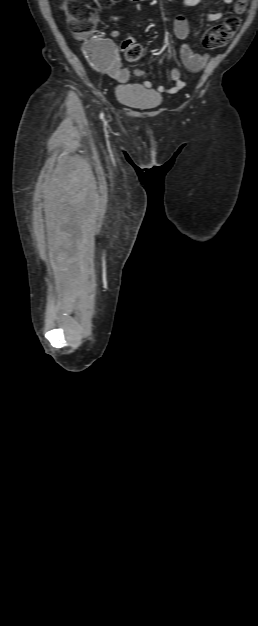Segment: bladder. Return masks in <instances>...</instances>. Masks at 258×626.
Returning <instances> with one entry per match:
<instances>
[{"label": "bladder", "instance_id": "bladder-1", "mask_svg": "<svg viewBox=\"0 0 258 626\" xmlns=\"http://www.w3.org/2000/svg\"><path fill=\"white\" fill-rule=\"evenodd\" d=\"M115 97L119 103L138 110L154 109L162 102L161 95L156 91L146 89L137 84L117 86Z\"/></svg>", "mask_w": 258, "mask_h": 626}]
</instances>
